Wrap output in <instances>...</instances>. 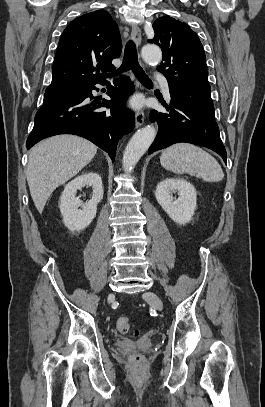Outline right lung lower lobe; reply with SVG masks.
Segmentation results:
<instances>
[{
  "mask_svg": "<svg viewBox=\"0 0 265 407\" xmlns=\"http://www.w3.org/2000/svg\"><path fill=\"white\" fill-rule=\"evenodd\" d=\"M95 84L108 82L105 78L91 80L69 98L43 104L36 113L34 128L26 142L27 149L49 136L75 134L108 152L114 161L118 141L134 127V113L125 107L128 93L133 92L134 86L122 76L114 81L118 87L108 90L111 100L100 102L92 101L91 92L97 90ZM101 107H108L110 111H101Z\"/></svg>",
  "mask_w": 265,
  "mask_h": 407,
  "instance_id": "obj_1",
  "label": "right lung lower lobe"
}]
</instances>
